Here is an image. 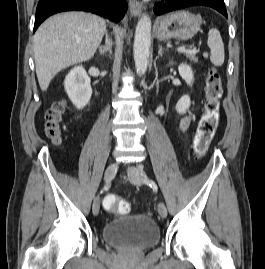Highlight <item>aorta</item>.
<instances>
[{
    "instance_id": "aorta-1",
    "label": "aorta",
    "mask_w": 265,
    "mask_h": 269,
    "mask_svg": "<svg viewBox=\"0 0 265 269\" xmlns=\"http://www.w3.org/2000/svg\"><path fill=\"white\" fill-rule=\"evenodd\" d=\"M151 45V19L144 14L137 23L134 37V62L137 73L147 70Z\"/></svg>"
}]
</instances>
